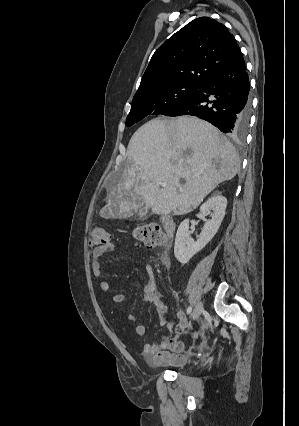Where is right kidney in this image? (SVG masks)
Returning a JSON list of instances; mask_svg holds the SVG:
<instances>
[{
  "label": "right kidney",
  "mask_w": 299,
  "mask_h": 426,
  "mask_svg": "<svg viewBox=\"0 0 299 426\" xmlns=\"http://www.w3.org/2000/svg\"><path fill=\"white\" fill-rule=\"evenodd\" d=\"M226 206L227 199L221 194H213L201 205L200 214L205 223L197 241H194L190 236L189 219L181 222L176 233L174 246L175 257L181 264H186L212 240L225 216ZM207 213H211L210 220L204 219Z\"/></svg>",
  "instance_id": "1"
}]
</instances>
